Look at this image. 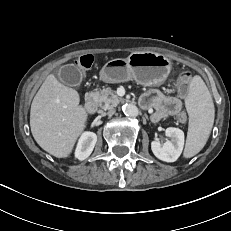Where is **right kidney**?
<instances>
[{
  "label": "right kidney",
  "instance_id": "1",
  "mask_svg": "<svg viewBox=\"0 0 231 231\" xmlns=\"http://www.w3.org/2000/svg\"><path fill=\"white\" fill-rule=\"evenodd\" d=\"M97 142V135L93 132H85L79 139L75 150V157L84 160L90 156Z\"/></svg>",
  "mask_w": 231,
  "mask_h": 231
}]
</instances>
